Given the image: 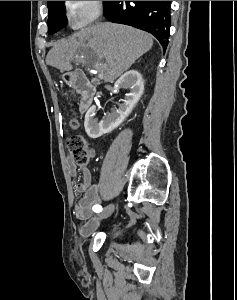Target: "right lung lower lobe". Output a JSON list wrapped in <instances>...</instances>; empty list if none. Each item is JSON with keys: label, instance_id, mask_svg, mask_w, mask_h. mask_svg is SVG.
<instances>
[{"label": "right lung lower lobe", "instance_id": "obj_1", "mask_svg": "<svg viewBox=\"0 0 237 300\" xmlns=\"http://www.w3.org/2000/svg\"><path fill=\"white\" fill-rule=\"evenodd\" d=\"M171 1H105L104 16L153 34L164 50L168 46Z\"/></svg>", "mask_w": 237, "mask_h": 300}]
</instances>
